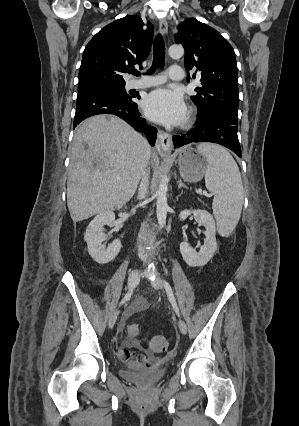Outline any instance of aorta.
<instances>
[{"mask_svg":"<svg viewBox=\"0 0 299 426\" xmlns=\"http://www.w3.org/2000/svg\"><path fill=\"white\" fill-rule=\"evenodd\" d=\"M168 54L173 59H179L184 55V48L181 45H172L168 49ZM168 178L163 175L157 190L156 213L160 228L166 223L168 203H167Z\"/></svg>","mask_w":299,"mask_h":426,"instance_id":"aorta-1","label":"aorta"}]
</instances>
